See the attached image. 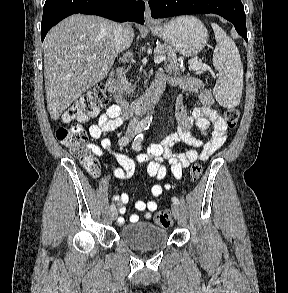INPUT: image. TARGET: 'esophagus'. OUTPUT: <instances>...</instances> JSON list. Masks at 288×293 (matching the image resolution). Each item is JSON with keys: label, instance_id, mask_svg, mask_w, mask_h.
<instances>
[{"label": "esophagus", "instance_id": "obj_1", "mask_svg": "<svg viewBox=\"0 0 288 293\" xmlns=\"http://www.w3.org/2000/svg\"><path fill=\"white\" fill-rule=\"evenodd\" d=\"M145 24L152 25L155 24V20L151 16V10L148 6V3L146 1V7H145Z\"/></svg>", "mask_w": 288, "mask_h": 293}]
</instances>
